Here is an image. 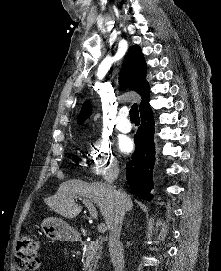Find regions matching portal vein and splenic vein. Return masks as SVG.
<instances>
[{"label":"portal vein and splenic vein","mask_w":221,"mask_h":271,"mask_svg":"<svg viewBox=\"0 0 221 271\" xmlns=\"http://www.w3.org/2000/svg\"><path fill=\"white\" fill-rule=\"evenodd\" d=\"M98 229H99V234H104L105 232V225L104 223H100V225H98Z\"/></svg>","instance_id":"18ae733b"}]
</instances>
